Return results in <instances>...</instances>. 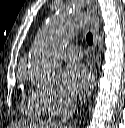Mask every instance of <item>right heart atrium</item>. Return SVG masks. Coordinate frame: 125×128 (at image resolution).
<instances>
[{"instance_id":"d8ad5b80","label":"right heart atrium","mask_w":125,"mask_h":128,"mask_svg":"<svg viewBox=\"0 0 125 128\" xmlns=\"http://www.w3.org/2000/svg\"><path fill=\"white\" fill-rule=\"evenodd\" d=\"M34 94L50 114H59L70 105L56 90L49 87L37 88Z\"/></svg>"}]
</instances>
